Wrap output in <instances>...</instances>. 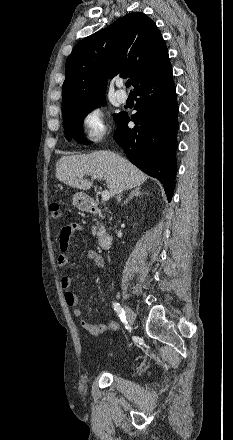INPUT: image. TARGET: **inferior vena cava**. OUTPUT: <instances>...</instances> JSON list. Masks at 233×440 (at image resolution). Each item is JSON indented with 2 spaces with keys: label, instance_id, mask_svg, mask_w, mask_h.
I'll use <instances>...</instances> for the list:
<instances>
[{
  "label": "inferior vena cava",
  "instance_id": "1",
  "mask_svg": "<svg viewBox=\"0 0 233 440\" xmlns=\"http://www.w3.org/2000/svg\"><path fill=\"white\" fill-rule=\"evenodd\" d=\"M122 192V191H121ZM120 192V193H121ZM120 193H119V196H117V200L120 202V200H121V195H120Z\"/></svg>",
  "mask_w": 233,
  "mask_h": 440
}]
</instances>
